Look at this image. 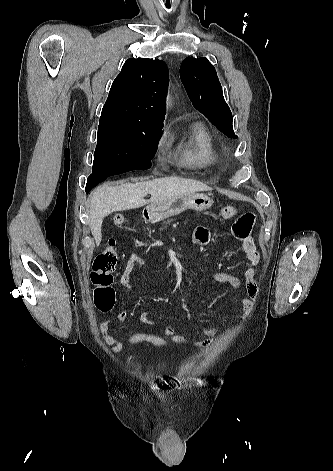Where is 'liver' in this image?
<instances>
[{
  "label": "liver",
  "instance_id": "1",
  "mask_svg": "<svg viewBox=\"0 0 333 471\" xmlns=\"http://www.w3.org/2000/svg\"><path fill=\"white\" fill-rule=\"evenodd\" d=\"M210 189L200 181L177 176L117 186L103 184L94 190L89 198L90 229L96 245L98 246L102 239L103 219L113 212L136 209L146 204L164 202ZM147 194H151L149 200L144 199Z\"/></svg>",
  "mask_w": 333,
  "mask_h": 471
}]
</instances>
